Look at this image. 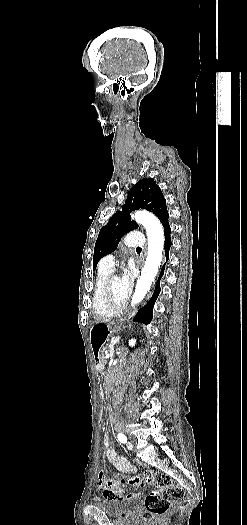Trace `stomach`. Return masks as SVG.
<instances>
[{
  "instance_id": "obj_1",
  "label": "stomach",
  "mask_w": 247,
  "mask_h": 525,
  "mask_svg": "<svg viewBox=\"0 0 247 525\" xmlns=\"http://www.w3.org/2000/svg\"><path fill=\"white\" fill-rule=\"evenodd\" d=\"M112 327L105 323H96L90 329V344L95 358L97 359V352L101 345L105 342L108 335L111 333Z\"/></svg>"
}]
</instances>
